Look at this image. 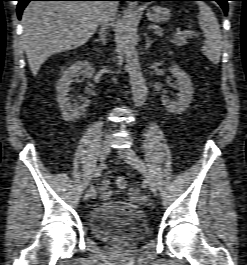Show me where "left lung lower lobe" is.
<instances>
[{"mask_svg": "<svg viewBox=\"0 0 247 265\" xmlns=\"http://www.w3.org/2000/svg\"><path fill=\"white\" fill-rule=\"evenodd\" d=\"M135 1L149 2V1H177V0H135ZM190 1H199V0H190ZM203 1H216L222 7L225 14H227V12H228L227 1H229V0H203Z\"/></svg>", "mask_w": 247, "mask_h": 265, "instance_id": "0a47b994", "label": "left lung lower lobe"}]
</instances>
